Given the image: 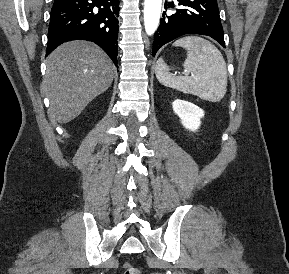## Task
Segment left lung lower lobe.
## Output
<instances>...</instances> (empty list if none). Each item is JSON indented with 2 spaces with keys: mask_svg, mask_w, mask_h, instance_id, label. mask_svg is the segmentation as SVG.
<instances>
[{
  "mask_svg": "<svg viewBox=\"0 0 289 274\" xmlns=\"http://www.w3.org/2000/svg\"><path fill=\"white\" fill-rule=\"evenodd\" d=\"M175 2L183 7L175 9L172 14L163 12L160 26L154 34L153 56L164 44L185 34L210 36L225 48L217 0H176ZM168 7L173 8V3H169Z\"/></svg>",
  "mask_w": 289,
  "mask_h": 274,
  "instance_id": "1",
  "label": "left lung lower lobe"
}]
</instances>
